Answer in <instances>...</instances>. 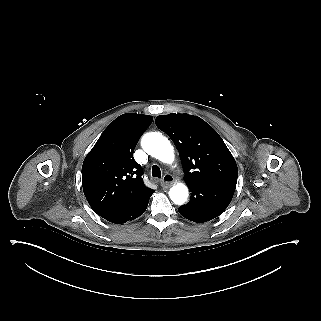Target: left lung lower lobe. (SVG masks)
Masks as SVG:
<instances>
[{
  "instance_id": "left-lung-lower-lobe-1",
  "label": "left lung lower lobe",
  "mask_w": 321,
  "mask_h": 321,
  "mask_svg": "<svg viewBox=\"0 0 321 321\" xmlns=\"http://www.w3.org/2000/svg\"><path fill=\"white\" fill-rule=\"evenodd\" d=\"M237 179H219L188 183L190 201L179 207V213L196 223L219 216L230 204Z\"/></svg>"
}]
</instances>
